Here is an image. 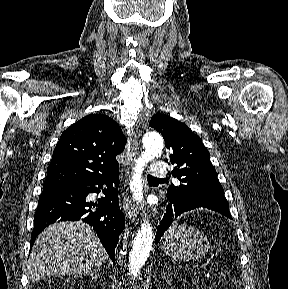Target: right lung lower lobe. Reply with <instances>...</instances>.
Wrapping results in <instances>:
<instances>
[{
    "label": "right lung lower lobe",
    "instance_id": "obj_1",
    "mask_svg": "<svg viewBox=\"0 0 288 289\" xmlns=\"http://www.w3.org/2000/svg\"><path fill=\"white\" fill-rule=\"evenodd\" d=\"M119 167L96 177L64 186L43 189L34 215L31 245L42 229L56 221L83 220L96 231L102 245L115 264V247L119 234L125 228V218L119 209ZM106 186V188H103ZM103 191L105 197L93 204L89 193ZM97 207L91 211L92 207Z\"/></svg>",
    "mask_w": 288,
    "mask_h": 289
}]
</instances>
